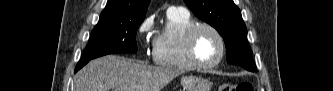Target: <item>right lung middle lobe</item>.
<instances>
[{
	"label": "right lung middle lobe",
	"mask_w": 333,
	"mask_h": 91,
	"mask_svg": "<svg viewBox=\"0 0 333 91\" xmlns=\"http://www.w3.org/2000/svg\"><path fill=\"white\" fill-rule=\"evenodd\" d=\"M144 18H100L92 31L82 60L113 53H135L136 32Z\"/></svg>",
	"instance_id": "dd1d6c3e"
}]
</instances>
